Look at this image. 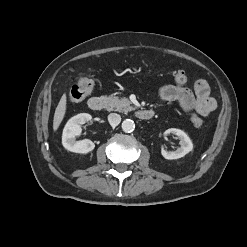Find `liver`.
<instances>
[{
    "label": "liver",
    "instance_id": "obj_1",
    "mask_svg": "<svg viewBox=\"0 0 247 247\" xmlns=\"http://www.w3.org/2000/svg\"><path fill=\"white\" fill-rule=\"evenodd\" d=\"M66 101H67V97H66V94H63V96L61 97L57 107H56V110H55V113H54V119H53V130L56 131L64 116H65V112H66Z\"/></svg>",
    "mask_w": 247,
    "mask_h": 247
}]
</instances>
